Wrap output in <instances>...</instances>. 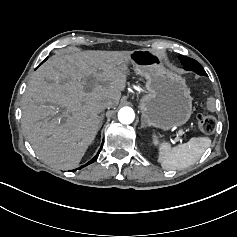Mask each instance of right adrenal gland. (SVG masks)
I'll return each mask as SVG.
<instances>
[{"label": "right adrenal gland", "mask_w": 237, "mask_h": 237, "mask_svg": "<svg viewBox=\"0 0 237 237\" xmlns=\"http://www.w3.org/2000/svg\"><path fill=\"white\" fill-rule=\"evenodd\" d=\"M99 119H100V124H99L98 130H99V129L101 128V126H102L103 119H104V113H102V114L99 116Z\"/></svg>", "instance_id": "1"}]
</instances>
